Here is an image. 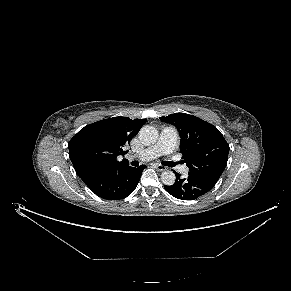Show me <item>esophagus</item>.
Listing matches in <instances>:
<instances>
[{
  "mask_svg": "<svg viewBox=\"0 0 291 291\" xmlns=\"http://www.w3.org/2000/svg\"><path fill=\"white\" fill-rule=\"evenodd\" d=\"M156 169H157L158 171H164V170H166V167L163 166V165H156Z\"/></svg>",
  "mask_w": 291,
  "mask_h": 291,
  "instance_id": "1",
  "label": "esophagus"
}]
</instances>
